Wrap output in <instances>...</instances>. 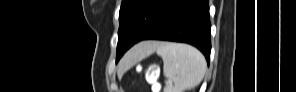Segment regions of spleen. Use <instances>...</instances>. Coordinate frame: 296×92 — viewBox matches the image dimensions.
Listing matches in <instances>:
<instances>
[{
	"instance_id": "obj_1",
	"label": "spleen",
	"mask_w": 296,
	"mask_h": 92,
	"mask_svg": "<svg viewBox=\"0 0 296 92\" xmlns=\"http://www.w3.org/2000/svg\"><path fill=\"white\" fill-rule=\"evenodd\" d=\"M163 59L164 76L172 81L165 92H184L197 86L206 73L204 56L196 48L168 42H154L153 51ZM144 56V57H145Z\"/></svg>"
}]
</instances>
